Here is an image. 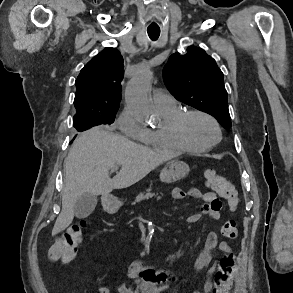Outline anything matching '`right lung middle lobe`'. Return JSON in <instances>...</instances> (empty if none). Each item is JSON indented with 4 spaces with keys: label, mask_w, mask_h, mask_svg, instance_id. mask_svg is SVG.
<instances>
[{
    "label": "right lung middle lobe",
    "mask_w": 293,
    "mask_h": 293,
    "mask_svg": "<svg viewBox=\"0 0 293 293\" xmlns=\"http://www.w3.org/2000/svg\"><path fill=\"white\" fill-rule=\"evenodd\" d=\"M116 111L108 113L78 111L73 118V125L78 132L87 130L100 124H112L115 120Z\"/></svg>",
    "instance_id": "1"
}]
</instances>
